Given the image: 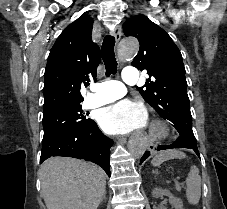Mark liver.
Here are the masks:
<instances>
[{
  "label": "liver",
  "mask_w": 227,
  "mask_h": 209,
  "mask_svg": "<svg viewBox=\"0 0 227 209\" xmlns=\"http://www.w3.org/2000/svg\"><path fill=\"white\" fill-rule=\"evenodd\" d=\"M47 209H97L106 191L103 169L70 157H51L39 169Z\"/></svg>",
  "instance_id": "liver-1"
}]
</instances>
